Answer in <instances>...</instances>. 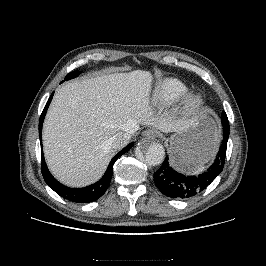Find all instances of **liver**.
I'll return each mask as SVG.
<instances>
[{
    "label": "liver",
    "mask_w": 266,
    "mask_h": 266,
    "mask_svg": "<svg viewBox=\"0 0 266 266\" xmlns=\"http://www.w3.org/2000/svg\"><path fill=\"white\" fill-rule=\"evenodd\" d=\"M149 71L135 70L69 82L57 89L43 125L47 165L62 183L82 187L96 182L116 154L111 138L133 125L163 132L185 123L152 117Z\"/></svg>",
    "instance_id": "1"
}]
</instances>
